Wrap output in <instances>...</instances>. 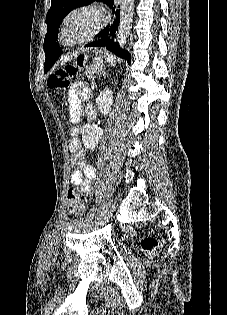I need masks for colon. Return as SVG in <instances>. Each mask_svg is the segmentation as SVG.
I'll return each mask as SVG.
<instances>
[{"mask_svg":"<svg viewBox=\"0 0 227 315\" xmlns=\"http://www.w3.org/2000/svg\"><path fill=\"white\" fill-rule=\"evenodd\" d=\"M85 59L78 56L73 62L59 68L47 80L48 87L53 91H65L69 86L70 80L84 66ZM87 199L82 190L74 185L67 192V206L70 213L80 216L85 212ZM141 247L149 255L155 254L160 247V242L154 237H145L141 240Z\"/></svg>","mask_w":227,"mask_h":315,"instance_id":"1","label":"colon"}]
</instances>
